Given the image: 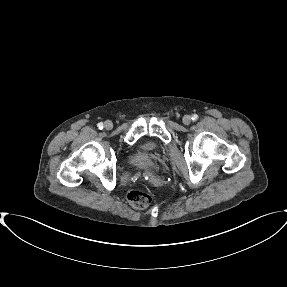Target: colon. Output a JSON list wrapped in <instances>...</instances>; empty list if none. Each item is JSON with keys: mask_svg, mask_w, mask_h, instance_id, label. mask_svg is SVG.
<instances>
[{"mask_svg": "<svg viewBox=\"0 0 287 287\" xmlns=\"http://www.w3.org/2000/svg\"><path fill=\"white\" fill-rule=\"evenodd\" d=\"M126 200L135 209H144L151 202L150 196L139 188L130 190L126 194Z\"/></svg>", "mask_w": 287, "mask_h": 287, "instance_id": "1", "label": "colon"}]
</instances>
